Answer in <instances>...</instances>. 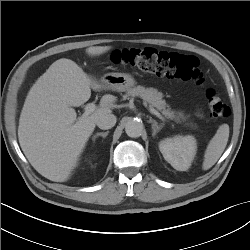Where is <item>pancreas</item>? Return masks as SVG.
Masks as SVG:
<instances>
[{"mask_svg": "<svg viewBox=\"0 0 250 250\" xmlns=\"http://www.w3.org/2000/svg\"><path fill=\"white\" fill-rule=\"evenodd\" d=\"M129 96L135 97L139 96L144 101L148 102L150 106L155 107L158 111L162 113L166 118L175 120L176 122H181L179 116L176 115L170 106L163 100V94L155 88H145L143 86H137L130 89L124 98Z\"/></svg>", "mask_w": 250, "mask_h": 250, "instance_id": "obj_1", "label": "pancreas"}]
</instances>
